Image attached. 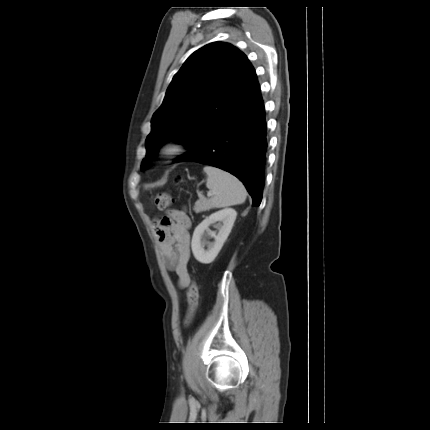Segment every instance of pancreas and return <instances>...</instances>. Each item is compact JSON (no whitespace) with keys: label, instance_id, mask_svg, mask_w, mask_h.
<instances>
[{"label":"pancreas","instance_id":"1","mask_svg":"<svg viewBox=\"0 0 430 430\" xmlns=\"http://www.w3.org/2000/svg\"><path fill=\"white\" fill-rule=\"evenodd\" d=\"M211 200L206 198H200L194 205L193 210L196 213H201L211 209Z\"/></svg>","mask_w":430,"mask_h":430}]
</instances>
